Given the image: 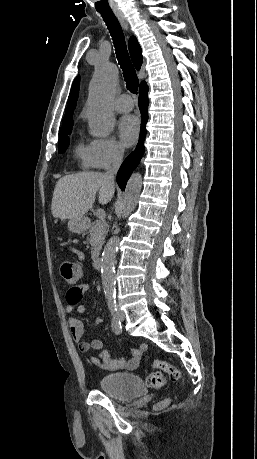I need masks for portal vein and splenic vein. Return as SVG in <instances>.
Here are the masks:
<instances>
[{
  "label": "portal vein and splenic vein",
  "mask_w": 257,
  "mask_h": 459,
  "mask_svg": "<svg viewBox=\"0 0 257 459\" xmlns=\"http://www.w3.org/2000/svg\"><path fill=\"white\" fill-rule=\"evenodd\" d=\"M106 214H105V211L102 210V209H99L96 211V217L99 219V220H103L105 218Z\"/></svg>",
  "instance_id": "18ae733b"
}]
</instances>
